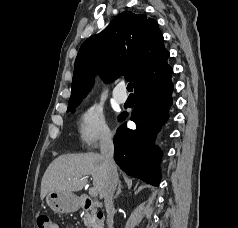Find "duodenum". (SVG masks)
<instances>
[{
	"mask_svg": "<svg viewBox=\"0 0 238 228\" xmlns=\"http://www.w3.org/2000/svg\"><path fill=\"white\" fill-rule=\"evenodd\" d=\"M79 204L83 209H91L94 205L92 199L87 196L80 197ZM96 217L100 220L103 218V214L99 212ZM96 228H103V224L101 222H98Z\"/></svg>",
	"mask_w": 238,
	"mask_h": 228,
	"instance_id": "1",
	"label": "duodenum"
}]
</instances>
